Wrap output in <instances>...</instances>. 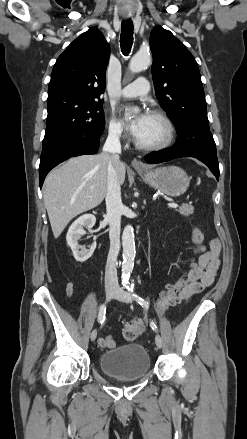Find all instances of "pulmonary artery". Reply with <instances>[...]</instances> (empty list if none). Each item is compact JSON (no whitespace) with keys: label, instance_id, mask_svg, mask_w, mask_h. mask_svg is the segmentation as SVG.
Listing matches in <instances>:
<instances>
[{"label":"pulmonary artery","instance_id":"e3ab8cb5","mask_svg":"<svg viewBox=\"0 0 247 439\" xmlns=\"http://www.w3.org/2000/svg\"><path fill=\"white\" fill-rule=\"evenodd\" d=\"M148 92L149 82L146 78L141 77L125 86L119 95L123 98H136L145 96Z\"/></svg>","mask_w":247,"mask_h":439}]
</instances>
